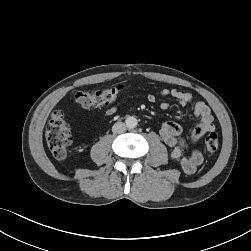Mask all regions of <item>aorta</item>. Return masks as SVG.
I'll return each instance as SVG.
<instances>
[{"label": "aorta", "mask_w": 251, "mask_h": 251, "mask_svg": "<svg viewBox=\"0 0 251 251\" xmlns=\"http://www.w3.org/2000/svg\"><path fill=\"white\" fill-rule=\"evenodd\" d=\"M126 127L129 129L135 128L138 124V121L133 116H128L125 120Z\"/></svg>", "instance_id": "obj_1"}]
</instances>
